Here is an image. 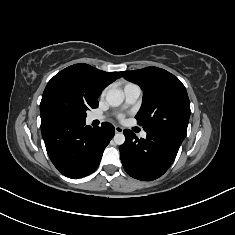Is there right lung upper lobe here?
Segmentation results:
<instances>
[{
    "mask_svg": "<svg viewBox=\"0 0 235 235\" xmlns=\"http://www.w3.org/2000/svg\"><path fill=\"white\" fill-rule=\"evenodd\" d=\"M120 78L117 72H104L88 64L69 66L57 73L47 85L61 84L89 108L98 107L97 98L110 83Z\"/></svg>",
    "mask_w": 235,
    "mask_h": 235,
    "instance_id": "right-lung-upper-lobe-1",
    "label": "right lung upper lobe"
}]
</instances>
